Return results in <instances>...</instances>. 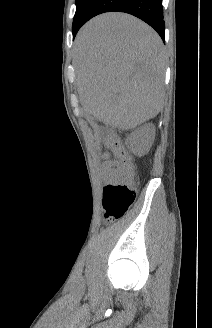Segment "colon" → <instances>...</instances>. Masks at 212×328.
Returning <instances> with one entry per match:
<instances>
[{"label":"colon","mask_w":212,"mask_h":328,"mask_svg":"<svg viewBox=\"0 0 212 328\" xmlns=\"http://www.w3.org/2000/svg\"><path fill=\"white\" fill-rule=\"evenodd\" d=\"M105 144L119 157L122 180L108 184L103 189L102 205L107 222L122 218L136 197L135 165L131 156L125 151L121 142L112 135L105 137Z\"/></svg>","instance_id":"1"}]
</instances>
